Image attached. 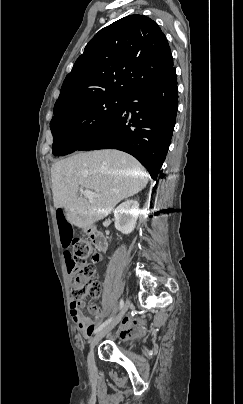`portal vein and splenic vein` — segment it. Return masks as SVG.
<instances>
[{
	"instance_id": "obj_1",
	"label": "portal vein and splenic vein",
	"mask_w": 243,
	"mask_h": 404,
	"mask_svg": "<svg viewBox=\"0 0 243 404\" xmlns=\"http://www.w3.org/2000/svg\"><path fill=\"white\" fill-rule=\"evenodd\" d=\"M83 196H85V198H88V200H93V198H97L98 194H93V192H91V190H84V192H82Z\"/></svg>"
}]
</instances>
